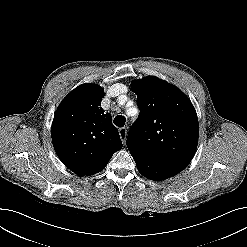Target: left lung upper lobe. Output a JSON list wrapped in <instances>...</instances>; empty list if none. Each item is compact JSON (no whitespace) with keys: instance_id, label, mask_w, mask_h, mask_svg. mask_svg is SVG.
I'll list each match as a JSON object with an SVG mask.
<instances>
[{"instance_id":"obj_1","label":"left lung upper lobe","mask_w":247,"mask_h":247,"mask_svg":"<svg viewBox=\"0 0 247 247\" xmlns=\"http://www.w3.org/2000/svg\"><path fill=\"white\" fill-rule=\"evenodd\" d=\"M131 89L140 109L126 142L132 157L184 169L198 144L199 124L191 101L177 87L153 76L134 80Z\"/></svg>"}]
</instances>
